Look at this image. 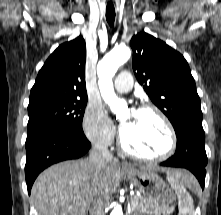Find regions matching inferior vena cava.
<instances>
[{"mask_svg":"<svg viewBox=\"0 0 221 215\" xmlns=\"http://www.w3.org/2000/svg\"><path fill=\"white\" fill-rule=\"evenodd\" d=\"M113 156L104 144H94L89 155V161L93 164L97 174L105 168L107 162L112 161ZM107 202L101 193H97L90 207V215H105Z\"/></svg>","mask_w":221,"mask_h":215,"instance_id":"obj_1","label":"inferior vena cava"}]
</instances>
